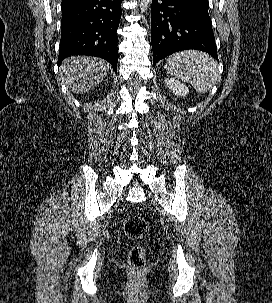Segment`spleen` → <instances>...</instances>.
<instances>
[{
  "label": "spleen",
  "mask_w": 272,
  "mask_h": 303,
  "mask_svg": "<svg viewBox=\"0 0 272 303\" xmlns=\"http://www.w3.org/2000/svg\"><path fill=\"white\" fill-rule=\"evenodd\" d=\"M167 72L189 82L198 93H206L217 82L218 64L208 54L187 50L175 53L167 59Z\"/></svg>",
  "instance_id": "1"
}]
</instances>
